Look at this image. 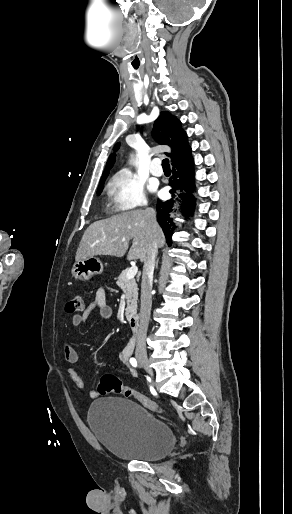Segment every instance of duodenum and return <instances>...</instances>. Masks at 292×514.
I'll list each match as a JSON object with an SVG mask.
<instances>
[{"label":"duodenum","mask_w":292,"mask_h":514,"mask_svg":"<svg viewBox=\"0 0 292 514\" xmlns=\"http://www.w3.org/2000/svg\"><path fill=\"white\" fill-rule=\"evenodd\" d=\"M129 328L133 334L138 333L139 330V317L137 315H133L129 319Z\"/></svg>","instance_id":"obj_1"}]
</instances>
